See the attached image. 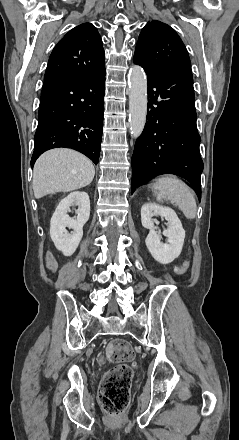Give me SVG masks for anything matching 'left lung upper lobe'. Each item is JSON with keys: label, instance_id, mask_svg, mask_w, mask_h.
<instances>
[{"label": "left lung upper lobe", "instance_id": "5c2ea615", "mask_svg": "<svg viewBox=\"0 0 239 440\" xmlns=\"http://www.w3.org/2000/svg\"><path fill=\"white\" fill-rule=\"evenodd\" d=\"M134 59L147 68H168L191 72L188 51L178 34L160 21L148 22L142 29Z\"/></svg>", "mask_w": 239, "mask_h": 440}]
</instances>
